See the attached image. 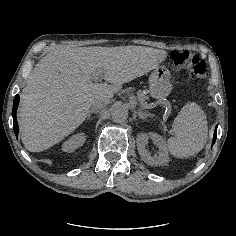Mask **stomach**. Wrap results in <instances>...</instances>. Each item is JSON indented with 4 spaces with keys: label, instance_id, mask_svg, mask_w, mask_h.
I'll list each match as a JSON object with an SVG mask.
<instances>
[{
    "label": "stomach",
    "instance_id": "stomach-1",
    "mask_svg": "<svg viewBox=\"0 0 236 236\" xmlns=\"http://www.w3.org/2000/svg\"><path fill=\"white\" fill-rule=\"evenodd\" d=\"M170 72L165 67L156 68L149 77V93L156 99L164 98L172 90Z\"/></svg>",
    "mask_w": 236,
    "mask_h": 236
}]
</instances>
